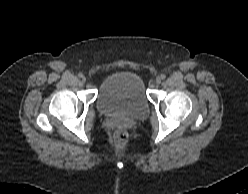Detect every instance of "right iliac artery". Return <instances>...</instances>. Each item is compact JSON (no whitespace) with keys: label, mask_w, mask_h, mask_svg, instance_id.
<instances>
[{"label":"right iliac artery","mask_w":248,"mask_h":194,"mask_svg":"<svg viewBox=\"0 0 248 194\" xmlns=\"http://www.w3.org/2000/svg\"><path fill=\"white\" fill-rule=\"evenodd\" d=\"M78 77H79V78H82V77H83V74H82V73H79V74H78Z\"/></svg>","instance_id":"1"}]
</instances>
